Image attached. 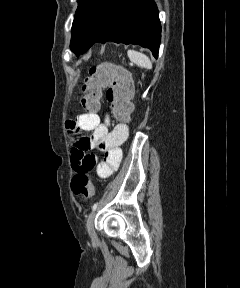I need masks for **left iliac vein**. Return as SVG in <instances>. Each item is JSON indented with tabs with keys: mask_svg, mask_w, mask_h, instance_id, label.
Segmentation results:
<instances>
[{
	"mask_svg": "<svg viewBox=\"0 0 240 288\" xmlns=\"http://www.w3.org/2000/svg\"><path fill=\"white\" fill-rule=\"evenodd\" d=\"M95 215H96V210H94L89 215L88 220H87V230H88V233H89L90 237L92 238V240L97 239V235H96L95 228H94Z\"/></svg>",
	"mask_w": 240,
	"mask_h": 288,
	"instance_id": "left-iliac-vein-1",
	"label": "left iliac vein"
}]
</instances>
